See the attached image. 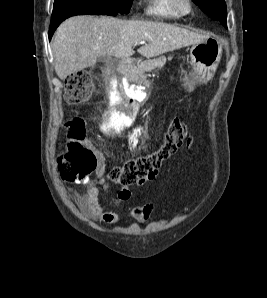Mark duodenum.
I'll list each match as a JSON object with an SVG mask.
<instances>
[{"label": "duodenum", "mask_w": 267, "mask_h": 298, "mask_svg": "<svg viewBox=\"0 0 267 298\" xmlns=\"http://www.w3.org/2000/svg\"><path fill=\"white\" fill-rule=\"evenodd\" d=\"M133 65L132 59H123L120 62L119 69L120 71H117V75H113L112 79L113 84L109 85L110 89H114L116 96L121 99L118 101H114L115 112H120V115H131L130 109H136V105H140L141 101L140 98H129V100H126L127 95L126 90L124 87H116V85L120 84L119 76H128V69Z\"/></svg>", "instance_id": "1"}]
</instances>
